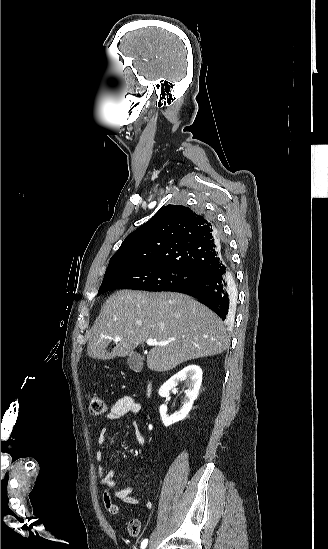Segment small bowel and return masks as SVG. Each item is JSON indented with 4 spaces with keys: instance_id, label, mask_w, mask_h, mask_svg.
<instances>
[{
    "instance_id": "small-bowel-1",
    "label": "small bowel",
    "mask_w": 328,
    "mask_h": 549,
    "mask_svg": "<svg viewBox=\"0 0 328 549\" xmlns=\"http://www.w3.org/2000/svg\"><path fill=\"white\" fill-rule=\"evenodd\" d=\"M141 405L135 401L130 396H122L119 398L110 408V411L107 415V419L109 422H113L116 420H119L126 416L127 414H136L140 412ZM108 436V428H103L97 437V445L101 446L104 441L106 440ZM136 439L139 442L140 445H144V438L139 431V429H136ZM96 461L99 463L98 466V475L101 477L102 484L110 489H113L114 496L121 500L122 502L129 504V505H135L140 502L139 498L133 496V487H126V488H118L116 486L115 482V473L113 470L106 469L103 465V453L101 451H97L95 454ZM152 505L151 501H147L145 503L146 508H150Z\"/></svg>"
}]
</instances>
